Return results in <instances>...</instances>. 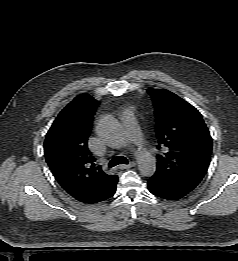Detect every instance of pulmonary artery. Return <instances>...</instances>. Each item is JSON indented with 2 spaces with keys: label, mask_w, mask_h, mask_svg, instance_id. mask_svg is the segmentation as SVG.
Masks as SVG:
<instances>
[{
  "label": "pulmonary artery",
  "mask_w": 238,
  "mask_h": 261,
  "mask_svg": "<svg viewBox=\"0 0 238 261\" xmlns=\"http://www.w3.org/2000/svg\"><path fill=\"white\" fill-rule=\"evenodd\" d=\"M122 120L127 139L140 148L144 147L146 143L134 113L131 110H126Z\"/></svg>",
  "instance_id": "1"
}]
</instances>
